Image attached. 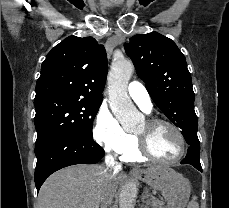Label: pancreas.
I'll use <instances>...</instances> for the list:
<instances>
[{
	"label": "pancreas",
	"instance_id": "obj_1",
	"mask_svg": "<svg viewBox=\"0 0 229 208\" xmlns=\"http://www.w3.org/2000/svg\"><path fill=\"white\" fill-rule=\"evenodd\" d=\"M151 196V194H149ZM165 202H161V200H157V198H149L146 202L145 208H164Z\"/></svg>",
	"mask_w": 229,
	"mask_h": 208
}]
</instances>
